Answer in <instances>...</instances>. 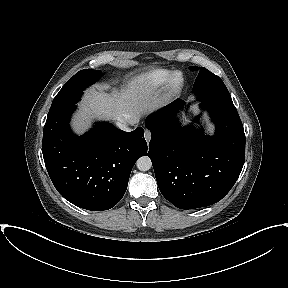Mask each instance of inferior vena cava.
Segmentation results:
<instances>
[{
    "label": "inferior vena cava",
    "instance_id": "602c4592",
    "mask_svg": "<svg viewBox=\"0 0 288 288\" xmlns=\"http://www.w3.org/2000/svg\"><path fill=\"white\" fill-rule=\"evenodd\" d=\"M117 127L121 130H124V131H130V128L127 127V124L125 122H122V121H118L116 123Z\"/></svg>",
    "mask_w": 288,
    "mask_h": 288
}]
</instances>
